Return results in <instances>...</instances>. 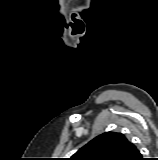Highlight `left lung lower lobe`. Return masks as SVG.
<instances>
[{
  "label": "left lung lower lobe",
  "mask_w": 158,
  "mask_h": 160,
  "mask_svg": "<svg viewBox=\"0 0 158 160\" xmlns=\"http://www.w3.org/2000/svg\"><path fill=\"white\" fill-rule=\"evenodd\" d=\"M131 160H144V159L142 158L141 153L139 152V150L136 149V152H135V154H134V156L132 157Z\"/></svg>",
  "instance_id": "left-lung-lower-lobe-1"
}]
</instances>
